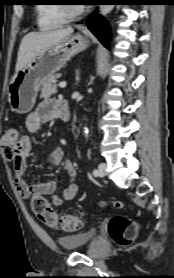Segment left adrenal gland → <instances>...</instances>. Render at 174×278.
I'll use <instances>...</instances> for the list:
<instances>
[{
  "mask_svg": "<svg viewBox=\"0 0 174 278\" xmlns=\"http://www.w3.org/2000/svg\"><path fill=\"white\" fill-rule=\"evenodd\" d=\"M80 80V77H79V70L76 71V85L78 84Z\"/></svg>",
  "mask_w": 174,
  "mask_h": 278,
  "instance_id": "left-adrenal-gland-1",
  "label": "left adrenal gland"
}]
</instances>
